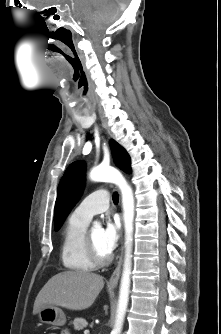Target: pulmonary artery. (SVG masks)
<instances>
[{"label":"pulmonary artery","instance_id":"e3ab8cb5","mask_svg":"<svg viewBox=\"0 0 221 334\" xmlns=\"http://www.w3.org/2000/svg\"><path fill=\"white\" fill-rule=\"evenodd\" d=\"M110 195L106 189H98L87 197L74 209L73 214L87 222L96 214L104 212L109 207Z\"/></svg>","mask_w":221,"mask_h":334}]
</instances>
